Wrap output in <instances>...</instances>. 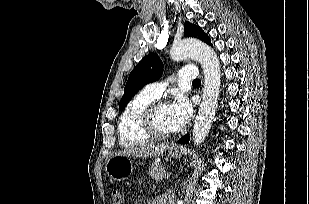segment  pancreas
<instances>
[{
  "instance_id": "obj_1",
  "label": "pancreas",
  "mask_w": 309,
  "mask_h": 204,
  "mask_svg": "<svg viewBox=\"0 0 309 204\" xmlns=\"http://www.w3.org/2000/svg\"><path fill=\"white\" fill-rule=\"evenodd\" d=\"M149 176L156 180L160 181L166 178V171L160 164H153L148 170Z\"/></svg>"
}]
</instances>
